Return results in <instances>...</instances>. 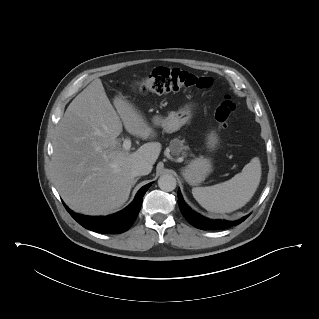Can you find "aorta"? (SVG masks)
Segmentation results:
<instances>
[{"label": "aorta", "instance_id": "1", "mask_svg": "<svg viewBox=\"0 0 319 319\" xmlns=\"http://www.w3.org/2000/svg\"><path fill=\"white\" fill-rule=\"evenodd\" d=\"M176 178L172 175L165 174L158 179V186L163 191H173L176 188Z\"/></svg>", "mask_w": 319, "mask_h": 319}]
</instances>
